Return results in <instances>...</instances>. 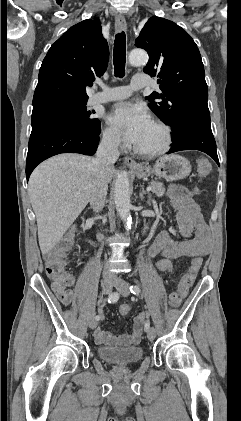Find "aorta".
Masks as SVG:
<instances>
[{
	"instance_id": "aorta-1",
	"label": "aorta",
	"mask_w": 241,
	"mask_h": 421,
	"mask_svg": "<svg viewBox=\"0 0 241 421\" xmlns=\"http://www.w3.org/2000/svg\"><path fill=\"white\" fill-rule=\"evenodd\" d=\"M148 61L146 51L134 49L129 54V62L134 66L144 65ZM114 201L116 210L128 230L132 224L130 215L129 176L126 170L121 171L115 181Z\"/></svg>"
}]
</instances>
